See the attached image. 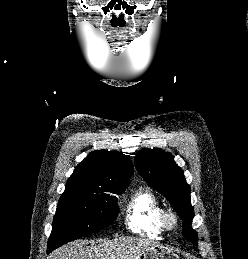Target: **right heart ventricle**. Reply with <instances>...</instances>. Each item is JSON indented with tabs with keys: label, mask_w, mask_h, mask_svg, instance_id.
I'll use <instances>...</instances> for the list:
<instances>
[{
	"label": "right heart ventricle",
	"mask_w": 248,
	"mask_h": 259,
	"mask_svg": "<svg viewBox=\"0 0 248 259\" xmlns=\"http://www.w3.org/2000/svg\"><path fill=\"white\" fill-rule=\"evenodd\" d=\"M164 208L158 197L148 188L136 190L125 210V224L134 233L160 237L167 230L163 223Z\"/></svg>",
	"instance_id": "right-heart-ventricle-1"
}]
</instances>
